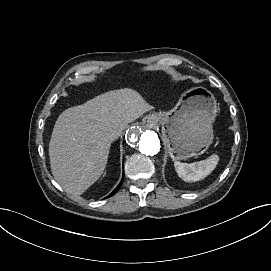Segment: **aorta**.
Returning a JSON list of instances; mask_svg holds the SVG:
<instances>
[{
  "label": "aorta",
  "mask_w": 271,
  "mask_h": 271,
  "mask_svg": "<svg viewBox=\"0 0 271 271\" xmlns=\"http://www.w3.org/2000/svg\"><path fill=\"white\" fill-rule=\"evenodd\" d=\"M129 147L139 150L146 156H154L160 151V139L158 135L141 125L133 126L126 135Z\"/></svg>",
  "instance_id": "762f6f07"
}]
</instances>
